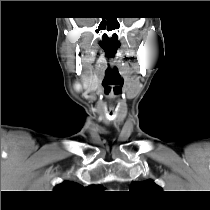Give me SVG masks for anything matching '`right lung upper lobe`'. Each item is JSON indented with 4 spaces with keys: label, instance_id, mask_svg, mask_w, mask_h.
Listing matches in <instances>:
<instances>
[{
    "label": "right lung upper lobe",
    "instance_id": "1",
    "mask_svg": "<svg viewBox=\"0 0 210 210\" xmlns=\"http://www.w3.org/2000/svg\"><path fill=\"white\" fill-rule=\"evenodd\" d=\"M95 187H101L99 186H95ZM79 188H81V186L75 182L72 181H64L61 184H58L55 188L54 191L55 192H70L73 190H79Z\"/></svg>",
    "mask_w": 210,
    "mask_h": 210
}]
</instances>
